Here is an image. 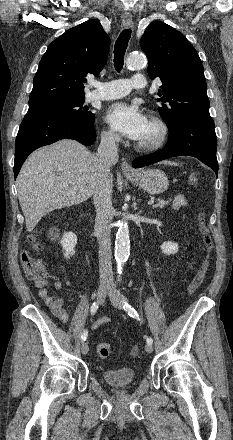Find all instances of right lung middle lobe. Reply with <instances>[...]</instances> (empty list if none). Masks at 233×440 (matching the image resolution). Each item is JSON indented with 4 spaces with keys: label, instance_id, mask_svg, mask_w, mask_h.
I'll return each mask as SVG.
<instances>
[{
    "label": "right lung middle lobe",
    "instance_id": "dd1d6c3e",
    "mask_svg": "<svg viewBox=\"0 0 233 440\" xmlns=\"http://www.w3.org/2000/svg\"><path fill=\"white\" fill-rule=\"evenodd\" d=\"M84 98H57L40 103L29 104L28 112H48L59 114L80 121L85 125H93L95 116L87 107H82Z\"/></svg>",
    "mask_w": 233,
    "mask_h": 440
}]
</instances>
